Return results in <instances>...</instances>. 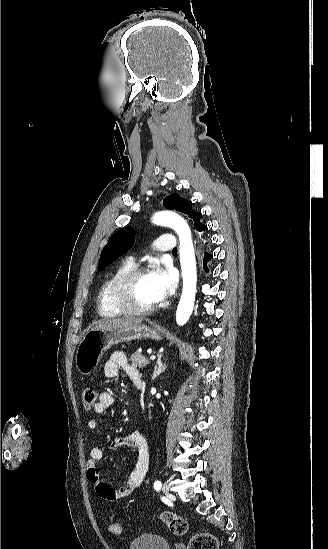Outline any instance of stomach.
Masks as SVG:
<instances>
[{"instance_id": "0dacf381", "label": "stomach", "mask_w": 328, "mask_h": 549, "mask_svg": "<svg viewBox=\"0 0 328 549\" xmlns=\"http://www.w3.org/2000/svg\"><path fill=\"white\" fill-rule=\"evenodd\" d=\"M137 339H163L161 331L148 325L133 327H105V329H88L76 351V367L81 375H91L98 367L102 355L112 345L137 341Z\"/></svg>"}]
</instances>
